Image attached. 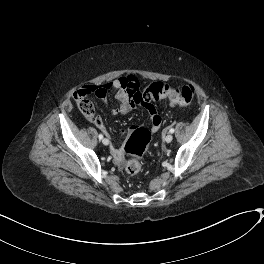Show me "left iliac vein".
<instances>
[{"instance_id": "1", "label": "left iliac vein", "mask_w": 264, "mask_h": 264, "mask_svg": "<svg viewBox=\"0 0 264 264\" xmlns=\"http://www.w3.org/2000/svg\"><path fill=\"white\" fill-rule=\"evenodd\" d=\"M165 142L170 143L173 140L172 134H167L164 138Z\"/></svg>"}]
</instances>
